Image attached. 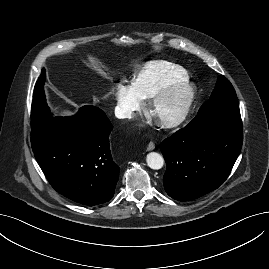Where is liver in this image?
<instances>
[{
    "instance_id": "liver-1",
    "label": "liver",
    "mask_w": 269,
    "mask_h": 269,
    "mask_svg": "<svg viewBox=\"0 0 269 269\" xmlns=\"http://www.w3.org/2000/svg\"><path fill=\"white\" fill-rule=\"evenodd\" d=\"M61 114H62L63 116H71V115H73L74 113H73L71 110L64 109V110L61 111Z\"/></svg>"
}]
</instances>
